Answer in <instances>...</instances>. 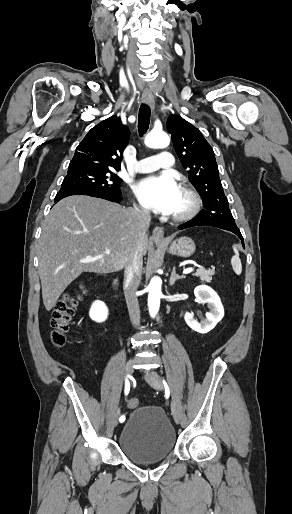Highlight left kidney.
<instances>
[{"label": "left kidney", "instance_id": "obj_1", "mask_svg": "<svg viewBox=\"0 0 292 514\" xmlns=\"http://www.w3.org/2000/svg\"><path fill=\"white\" fill-rule=\"evenodd\" d=\"M194 294L201 304H208L210 312H206L205 318L204 320H201V322H197V320L193 318V314L186 312L184 320L186 324H188L189 328H192L194 332L207 334V332L213 330L216 324L222 320L224 316V308L218 294H216L210 286H197L194 290Z\"/></svg>", "mask_w": 292, "mask_h": 514}]
</instances>
